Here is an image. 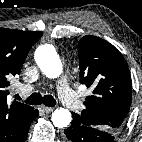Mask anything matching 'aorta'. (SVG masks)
Masks as SVG:
<instances>
[{
  "label": "aorta",
  "mask_w": 142,
  "mask_h": 142,
  "mask_svg": "<svg viewBox=\"0 0 142 142\" xmlns=\"http://www.w3.org/2000/svg\"><path fill=\"white\" fill-rule=\"evenodd\" d=\"M35 61L41 71L49 78H57L62 73V62L50 44L39 46L35 52ZM51 120L55 127H67L71 121V113L68 109L57 108L53 113Z\"/></svg>",
  "instance_id": "obj_1"
}]
</instances>
